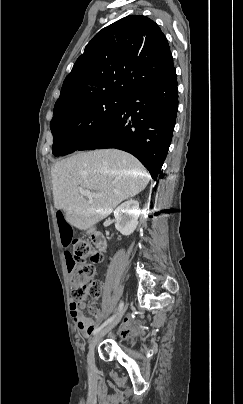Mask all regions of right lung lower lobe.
<instances>
[{"mask_svg":"<svg viewBox=\"0 0 243 404\" xmlns=\"http://www.w3.org/2000/svg\"><path fill=\"white\" fill-rule=\"evenodd\" d=\"M178 110L176 69L127 97L115 116L77 150L117 148L138 158L153 179L162 177Z\"/></svg>","mask_w":243,"mask_h":404,"instance_id":"98d812e1","label":"right lung lower lobe"}]
</instances>
